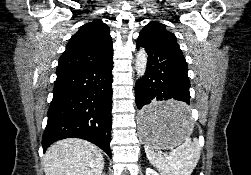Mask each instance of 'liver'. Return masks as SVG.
Instances as JSON below:
<instances>
[{
    "mask_svg": "<svg viewBox=\"0 0 251 175\" xmlns=\"http://www.w3.org/2000/svg\"><path fill=\"white\" fill-rule=\"evenodd\" d=\"M45 175H101V149L85 139H61L48 147L44 157Z\"/></svg>",
    "mask_w": 251,
    "mask_h": 175,
    "instance_id": "liver-1",
    "label": "liver"
}]
</instances>
